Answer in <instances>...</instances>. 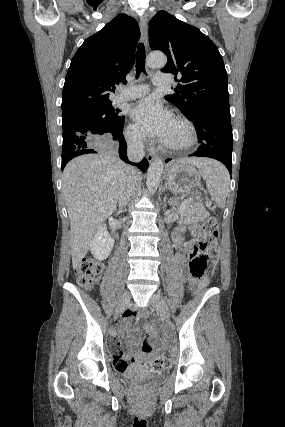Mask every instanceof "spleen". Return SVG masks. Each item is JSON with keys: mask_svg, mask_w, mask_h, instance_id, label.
<instances>
[{"mask_svg": "<svg viewBox=\"0 0 285 427\" xmlns=\"http://www.w3.org/2000/svg\"><path fill=\"white\" fill-rule=\"evenodd\" d=\"M199 172L206 182L209 194L220 208H224L229 193L230 175L227 169L219 162L213 161Z\"/></svg>", "mask_w": 285, "mask_h": 427, "instance_id": "3e777b00", "label": "spleen"}]
</instances>
